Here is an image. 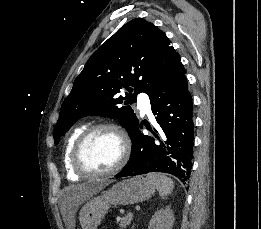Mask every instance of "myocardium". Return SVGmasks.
Wrapping results in <instances>:
<instances>
[{
  "instance_id": "myocardium-1",
  "label": "myocardium",
  "mask_w": 261,
  "mask_h": 229,
  "mask_svg": "<svg viewBox=\"0 0 261 229\" xmlns=\"http://www.w3.org/2000/svg\"><path fill=\"white\" fill-rule=\"evenodd\" d=\"M107 130L118 135L122 152L119 161L112 168L108 170H94L88 167L83 160V150L89 139L97 132ZM131 152L130 140L126 132L117 125L104 123L91 126L85 129L78 137L72 148L71 164L73 168L81 175L91 177H102L112 175L121 170L129 160Z\"/></svg>"
}]
</instances>
